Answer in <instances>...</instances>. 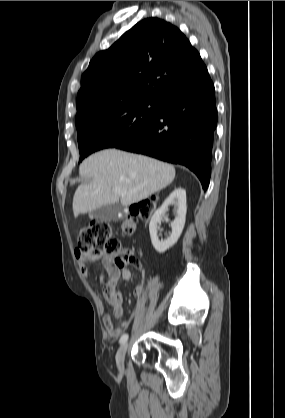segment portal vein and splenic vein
Listing matches in <instances>:
<instances>
[{
    "label": "portal vein and splenic vein",
    "mask_w": 285,
    "mask_h": 418,
    "mask_svg": "<svg viewBox=\"0 0 285 418\" xmlns=\"http://www.w3.org/2000/svg\"><path fill=\"white\" fill-rule=\"evenodd\" d=\"M115 192L116 193H121V191L119 189H116Z\"/></svg>",
    "instance_id": "18ae733b"
}]
</instances>
